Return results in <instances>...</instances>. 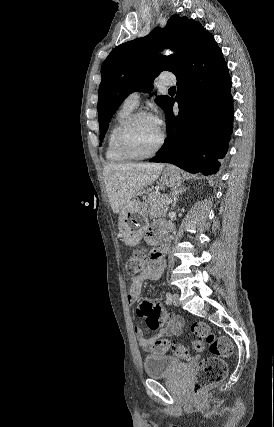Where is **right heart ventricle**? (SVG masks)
Returning a JSON list of instances; mask_svg holds the SVG:
<instances>
[{"label": "right heart ventricle", "mask_w": 274, "mask_h": 427, "mask_svg": "<svg viewBox=\"0 0 274 427\" xmlns=\"http://www.w3.org/2000/svg\"><path fill=\"white\" fill-rule=\"evenodd\" d=\"M133 113V110L122 107L116 114L106 136L105 157L111 164H124L129 160L121 154L116 146V136L120 126Z\"/></svg>", "instance_id": "1"}]
</instances>
